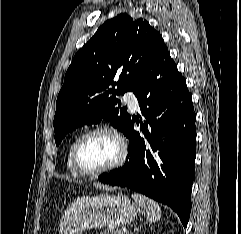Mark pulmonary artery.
Returning <instances> with one entry per match:
<instances>
[{
	"label": "pulmonary artery",
	"instance_id": "pulmonary-artery-1",
	"mask_svg": "<svg viewBox=\"0 0 241 234\" xmlns=\"http://www.w3.org/2000/svg\"><path fill=\"white\" fill-rule=\"evenodd\" d=\"M124 100L132 111H135L138 109L139 107L138 100L133 92H130V91L126 92L124 95Z\"/></svg>",
	"mask_w": 241,
	"mask_h": 234
}]
</instances>
